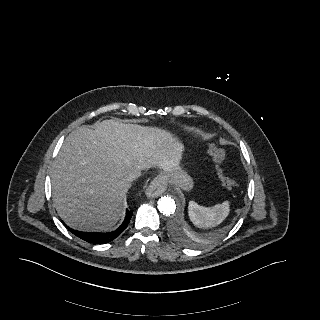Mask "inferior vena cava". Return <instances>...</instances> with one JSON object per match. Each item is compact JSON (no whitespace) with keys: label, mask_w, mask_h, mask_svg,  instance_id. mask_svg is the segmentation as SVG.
Returning a JSON list of instances; mask_svg holds the SVG:
<instances>
[{"label":"inferior vena cava","mask_w":320,"mask_h":320,"mask_svg":"<svg viewBox=\"0 0 320 320\" xmlns=\"http://www.w3.org/2000/svg\"><path fill=\"white\" fill-rule=\"evenodd\" d=\"M140 175H141V172L139 170H132L128 172L126 179L127 181L132 182L133 180L138 178Z\"/></svg>","instance_id":"inferior-vena-cava-1"}]
</instances>
